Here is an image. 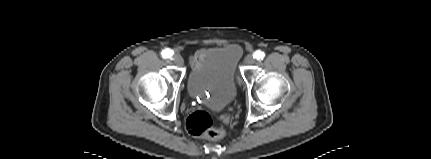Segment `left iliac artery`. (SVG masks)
<instances>
[{"mask_svg": "<svg viewBox=\"0 0 431 159\" xmlns=\"http://www.w3.org/2000/svg\"><path fill=\"white\" fill-rule=\"evenodd\" d=\"M253 57L256 58L257 60H262L265 57L264 52H262L261 50H257L254 54Z\"/></svg>", "mask_w": 431, "mask_h": 159, "instance_id": "left-iliac-artery-1", "label": "left iliac artery"}]
</instances>
